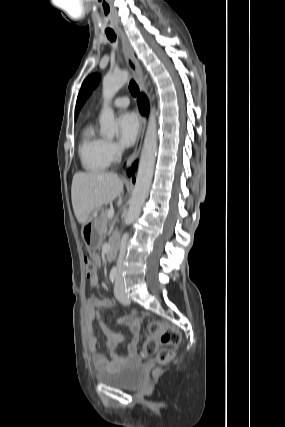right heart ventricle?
I'll return each mask as SVG.
<instances>
[{
  "instance_id": "1",
  "label": "right heart ventricle",
  "mask_w": 285,
  "mask_h": 427,
  "mask_svg": "<svg viewBox=\"0 0 285 427\" xmlns=\"http://www.w3.org/2000/svg\"><path fill=\"white\" fill-rule=\"evenodd\" d=\"M107 140L97 134L92 124L82 131L78 155L82 167L90 173L105 170L111 163L106 150Z\"/></svg>"
}]
</instances>
